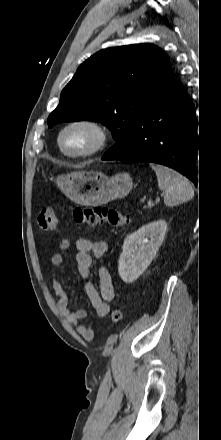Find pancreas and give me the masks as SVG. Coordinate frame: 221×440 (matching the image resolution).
I'll use <instances>...</instances> for the list:
<instances>
[{
	"label": "pancreas",
	"instance_id": "pancreas-1",
	"mask_svg": "<svg viewBox=\"0 0 221 440\" xmlns=\"http://www.w3.org/2000/svg\"><path fill=\"white\" fill-rule=\"evenodd\" d=\"M154 206V203H152V201H148V208H151V207H153Z\"/></svg>",
	"mask_w": 221,
	"mask_h": 440
}]
</instances>
